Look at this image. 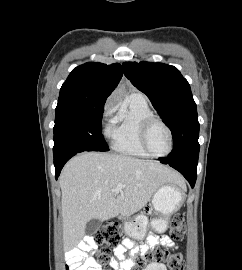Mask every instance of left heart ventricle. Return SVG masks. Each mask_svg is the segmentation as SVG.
Returning a JSON list of instances; mask_svg holds the SVG:
<instances>
[{
  "label": "left heart ventricle",
  "instance_id": "1",
  "mask_svg": "<svg viewBox=\"0 0 242 270\" xmlns=\"http://www.w3.org/2000/svg\"><path fill=\"white\" fill-rule=\"evenodd\" d=\"M148 145L157 155L165 154L169 149V136L165 128L159 123H154L148 133Z\"/></svg>",
  "mask_w": 242,
  "mask_h": 270
}]
</instances>
